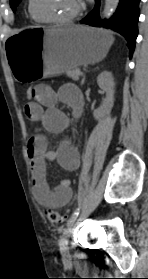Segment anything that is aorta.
<instances>
[{
	"label": "aorta",
	"instance_id": "obj_1",
	"mask_svg": "<svg viewBox=\"0 0 148 279\" xmlns=\"http://www.w3.org/2000/svg\"><path fill=\"white\" fill-rule=\"evenodd\" d=\"M118 4L119 0H105L103 16L108 17L114 13Z\"/></svg>",
	"mask_w": 148,
	"mask_h": 279
}]
</instances>
